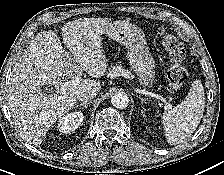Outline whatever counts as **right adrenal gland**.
<instances>
[{
  "instance_id": "2a0ac1e0",
  "label": "right adrenal gland",
  "mask_w": 224,
  "mask_h": 175,
  "mask_svg": "<svg viewBox=\"0 0 224 175\" xmlns=\"http://www.w3.org/2000/svg\"><path fill=\"white\" fill-rule=\"evenodd\" d=\"M89 104H90V102H84V103H81V104H77L76 107L83 106V107H85V109H87Z\"/></svg>"
}]
</instances>
